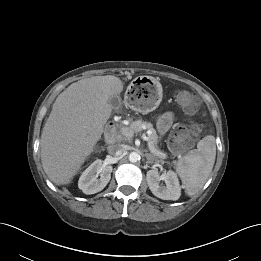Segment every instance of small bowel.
<instances>
[{
	"label": "small bowel",
	"instance_id": "small-bowel-1",
	"mask_svg": "<svg viewBox=\"0 0 261 261\" xmlns=\"http://www.w3.org/2000/svg\"><path fill=\"white\" fill-rule=\"evenodd\" d=\"M174 115L171 112H166L158 120V129L160 133H165L172 125Z\"/></svg>",
	"mask_w": 261,
	"mask_h": 261
}]
</instances>
